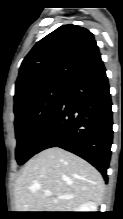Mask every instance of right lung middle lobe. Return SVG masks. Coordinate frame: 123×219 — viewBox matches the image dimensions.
<instances>
[{
    "instance_id": "obj_1",
    "label": "right lung middle lobe",
    "mask_w": 123,
    "mask_h": 219,
    "mask_svg": "<svg viewBox=\"0 0 123 219\" xmlns=\"http://www.w3.org/2000/svg\"><path fill=\"white\" fill-rule=\"evenodd\" d=\"M64 90L65 85H53L15 102L16 160L19 165L37 153L40 137L60 104Z\"/></svg>"
}]
</instances>
